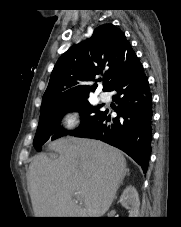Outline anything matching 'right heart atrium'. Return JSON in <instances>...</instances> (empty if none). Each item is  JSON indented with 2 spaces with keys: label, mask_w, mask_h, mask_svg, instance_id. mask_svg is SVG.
I'll return each instance as SVG.
<instances>
[{
  "label": "right heart atrium",
  "mask_w": 181,
  "mask_h": 227,
  "mask_svg": "<svg viewBox=\"0 0 181 227\" xmlns=\"http://www.w3.org/2000/svg\"><path fill=\"white\" fill-rule=\"evenodd\" d=\"M61 127L66 131H72L79 127L80 118L76 111L66 112L60 119Z\"/></svg>",
  "instance_id": "obj_1"
}]
</instances>
